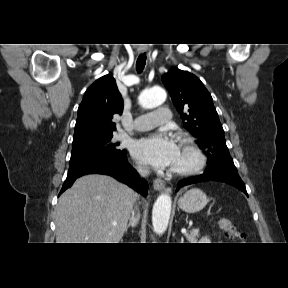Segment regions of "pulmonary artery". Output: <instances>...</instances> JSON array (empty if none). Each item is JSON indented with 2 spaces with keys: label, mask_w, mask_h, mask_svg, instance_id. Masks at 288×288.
Segmentation results:
<instances>
[{
  "label": "pulmonary artery",
  "mask_w": 288,
  "mask_h": 288,
  "mask_svg": "<svg viewBox=\"0 0 288 288\" xmlns=\"http://www.w3.org/2000/svg\"><path fill=\"white\" fill-rule=\"evenodd\" d=\"M171 118V112L166 107H161L153 112L145 113L138 117L133 124V130L135 131H146L166 125Z\"/></svg>",
  "instance_id": "pulmonary-artery-1"
}]
</instances>
